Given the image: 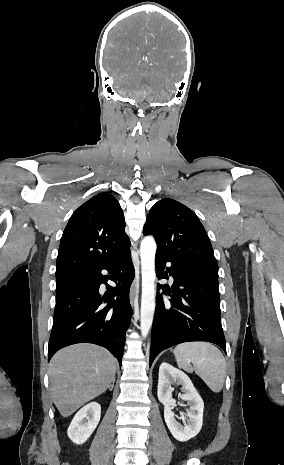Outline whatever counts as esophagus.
Returning a JSON list of instances; mask_svg holds the SVG:
<instances>
[{
	"instance_id": "obj_1",
	"label": "esophagus",
	"mask_w": 284,
	"mask_h": 465,
	"mask_svg": "<svg viewBox=\"0 0 284 465\" xmlns=\"http://www.w3.org/2000/svg\"><path fill=\"white\" fill-rule=\"evenodd\" d=\"M134 296H135V282L132 284L130 289V303L133 306L134 304Z\"/></svg>"
}]
</instances>
